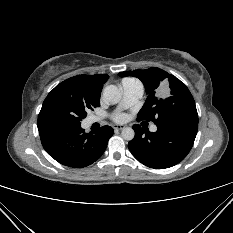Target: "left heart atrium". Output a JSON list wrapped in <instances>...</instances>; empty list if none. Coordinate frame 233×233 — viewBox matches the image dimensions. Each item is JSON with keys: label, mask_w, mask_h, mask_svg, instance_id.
I'll return each mask as SVG.
<instances>
[{"label": "left heart atrium", "mask_w": 233, "mask_h": 233, "mask_svg": "<svg viewBox=\"0 0 233 233\" xmlns=\"http://www.w3.org/2000/svg\"><path fill=\"white\" fill-rule=\"evenodd\" d=\"M127 118L126 114L123 112H117L114 114L113 119L117 122H123Z\"/></svg>", "instance_id": "1"}]
</instances>
